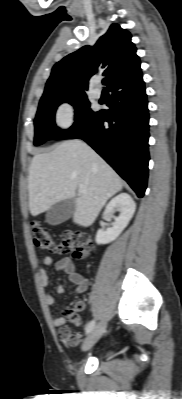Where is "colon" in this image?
I'll return each mask as SVG.
<instances>
[{"label":"colon","mask_w":182,"mask_h":399,"mask_svg":"<svg viewBox=\"0 0 182 399\" xmlns=\"http://www.w3.org/2000/svg\"><path fill=\"white\" fill-rule=\"evenodd\" d=\"M31 235L34 244L53 253H69L74 251L75 258H88L92 255L93 246L90 237L85 233L66 232L57 240L52 237L48 229L39 222L31 223ZM78 309L66 308L63 312L73 324L79 323Z\"/></svg>","instance_id":"obj_1"}]
</instances>
